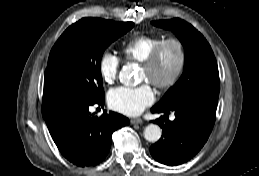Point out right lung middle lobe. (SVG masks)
I'll return each mask as SVG.
<instances>
[{
    "label": "right lung middle lobe",
    "instance_id": "dd1d6c3e",
    "mask_svg": "<svg viewBox=\"0 0 259 176\" xmlns=\"http://www.w3.org/2000/svg\"><path fill=\"white\" fill-rule=\"evenodd\" d=\"M133 27V22L91 17L68 27L50 52L43 96H66L81 100L102 97L100 62L103 52Z\"/></svg>",
    "mask_w": 259,
    "mask_h": 176
}]
</instances>
